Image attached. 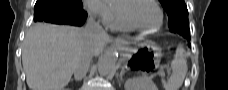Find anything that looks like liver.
Instances as JSON below:
<instances>
[{"label":"liver","instance_id":"liver-1","mask_svg":"<svg viewBox=\"0 0 228 90\" xmlns=\"http://www.w3.org/2000/svg\"><path fill=\"white\" fill-rule=\"evenodd\" d=\"M143 37L134 38L139 42ZM109 42V36L92 44L98 56ZM86 47L84 28L36 24L26 34L22 64L31 90H62L70 81L76 64Z\"/></svg>","mask_w":228,"mask_h":90}]
</instances>
